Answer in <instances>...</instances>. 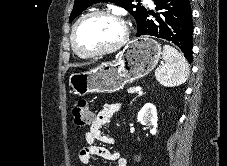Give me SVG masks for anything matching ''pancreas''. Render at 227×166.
<instances>
[{"label":"pancreas","mask_w":227,"mask_h":166,"mask_svg":"<svg viewBox=\"0 0 227 166\" xmlns=\"http://www.w3.org/2000/svg\"><path fill=\"white\" fill-rule=\"evenodd\" d=\"M127 91H128V93H134L135 92L134 87H130Z\"/></svg>","instance_id":"cf45deb5"}]
</instances>
